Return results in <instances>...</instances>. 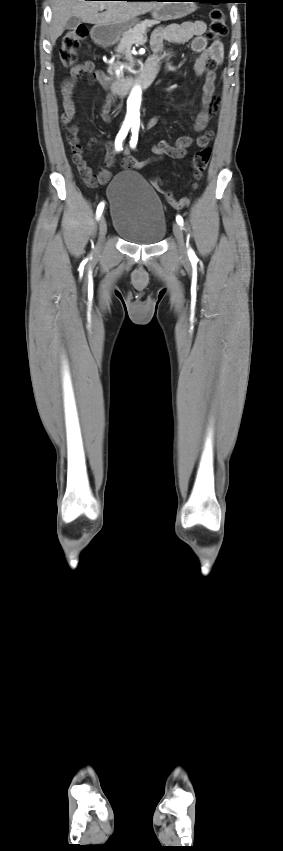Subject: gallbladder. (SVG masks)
Returning a JSON list of instances; mask_svg holds the SVG:
<instances>
[{
  "label": "gallbladder",
  "instance_id": "gallbladder-1",
  "mask_svg": "<svg viewBox=\"0 0 283 851\" xmlns=\"http://www.w3.org/2000/svg\"><path fill=\"white\" fill-rule=\"evenodd\" d=\"M82 20L78 17L72 16L66 23L65 28L67 30H72L77 28L81 24Z\"/></svg>",
  "mask_w": 283,
  "mask_h": 851
}]
</instances>
